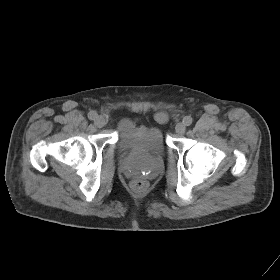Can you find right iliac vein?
Instances as JSON below:
<instances>
[{
	"instance_id": "1",
	"label": "right iliac vein",
	"mask_w": 280,
	"mask_h": 280,
	"mask_svg": "<svg viewBox=\"0 0 280 280\" xmlns=\"http://www.w3.org/2000/svg\"><path fill=\"white\" fill-rule=\"evenodd\" d=\"M106 119L105 117L103 116H98L96 119H95V125L98 127V128H102L106 125Z\"/></svg>"
}]
</instances>
